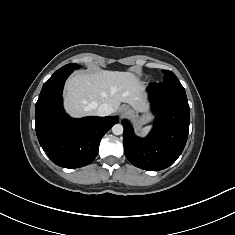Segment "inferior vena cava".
Here are the masks:
<instances>
[{
	"instance_id": "inferior-vena-cava-1",
	"label": "inferior vena cava",
	"mask_w": 235,
	"mask_h": 235,
	"mask_svg": "<svg viewBox=\"0 0 235 235\" xmlns=\"http://www.w3.org/2000/svg\"><path fill=\"white\" fill-rule=\"evenodd\" d=\"M113 112V108L107 104V103H104V104H101L97 110H96V115L97 116H108V115H111Z\"/></svg>"
}]
</instances>
